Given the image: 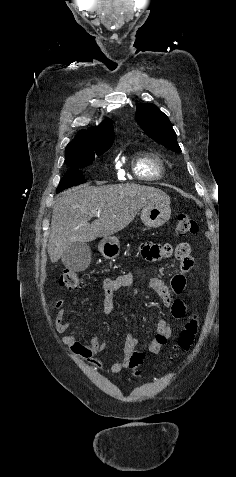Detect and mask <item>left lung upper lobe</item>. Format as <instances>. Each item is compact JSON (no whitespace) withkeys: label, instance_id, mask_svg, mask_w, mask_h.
Returning a JSON list of instances; mask_svg holds the SVG:
<instances>
[{"label":"left lung upper lobe","instance_id":"1","mask_svg":"<svg viewBox=\"0 0 236 477\" xmlns=\"http://www.w3.org/2000/svg\"><path fill=\"white\" fill-rule=\"evenodd\" d=\"M136 117L138 124L150 138L174 152H181L171 122L155 105L141 104L136 110Z\"/></svg>","mask_w":236,"mask_h":477}]
</instances>
